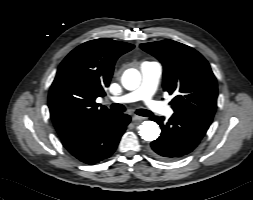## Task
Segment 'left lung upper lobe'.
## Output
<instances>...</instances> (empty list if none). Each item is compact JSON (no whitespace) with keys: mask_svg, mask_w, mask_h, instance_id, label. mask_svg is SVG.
Wrapping results in <instances>:
<instances>
[{"mask_svg":"<svg viewBox=\"0 0 253 200\" xmlns=\"http://www.w3.org/2000/svg\"><path fill=\"white\" fill-rule=\"evenodd\" d=\"M140 47L163 64V88L175 95L170 102L174 112L210 125L218 91L206 59L193 48L172 40L143 43Z\"/></svg>","mask_w":253,"mask_h":200,"instance_id":"left-lung-upper-lobe-1","label":"left lung upper lobe"}]
</instances>
